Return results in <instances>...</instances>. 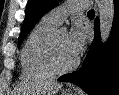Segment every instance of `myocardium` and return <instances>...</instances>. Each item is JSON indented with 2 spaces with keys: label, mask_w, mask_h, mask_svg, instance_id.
Instances as JSON below:
<instances>
[{
  "label": "myocardium",
  "mask_w": 119,
  "mask_h": 95,
  "mask_svg": "<svg viewBox=\"0 0 119 95\" xmlns=\"http://www.w3.org/2000/svg\"><path fill=\"white\" fill-rule=\"evenodd\" d=\"M55 38H56V32H53L46 44L45 62L49 70L52 72V74H65L74 70L77 67L79 63V59L76 58L68 66H60L57 63L56 57H55Z\"/></svg>",
  "instance_id": "f54148a6"
}]
</instances>
